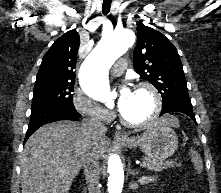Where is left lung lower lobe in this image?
I'll use <instances>...</instances> for the list:
<instances>
[{
    "label": "left lung lower lobe",
    "instance_id": "left-lung-lower-lobe-1",
    "mask_svg": "<svg viewBox=\"0 0 221 193\" xmlns=\"http://www.w3.org/2000/svg\"><path fill=\"white\" fill-rule=\"evenodd\" d=\"M169 112H181L191 117L195 122V114L193 113L192 104L190 99L177 100L168 103L162 107L161 115Z\"/></svg>",
    "mask_w": 221,
    "mask_h": 193
}]
</instances>
